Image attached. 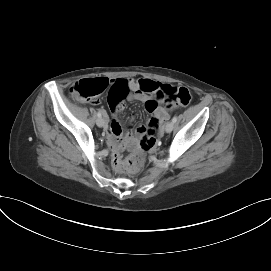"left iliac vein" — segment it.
<instances>
[{"mask_svg":"<svg viewBox=\"0 0 271 271\" xmlns=\"http://www.w3.org/2000/svg\"><path fill=\"white\" fill-rule=\"evenodd\" d=\"M174 128V123L173 122H168L166 125H165V131L167 133H170Z\"/></svg>","mask_w":271,"mask_h":271,"instance_id":"1","label":"left iliac vein"}]
</instances>
